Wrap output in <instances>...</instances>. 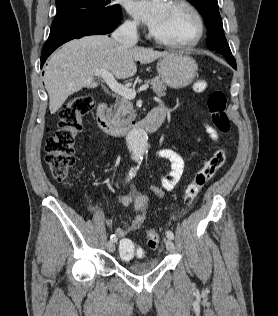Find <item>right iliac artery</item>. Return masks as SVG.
<instances>
[{"mask_svg": "<svg viewBox=\"0 0 278 316\" xmlns=\"http://www.w3.org/2000/svg\"><path fill=\"white\" fill-rule=\"evenodd\" d=\"M135 175H136V170L132 169V170L129 172V175H128V177H127V181H130V179H132L133 177H135ZM110 240L113 241V242H116V241H117V237L113 234V235H111Z\"/></svg>", "mask_w": 278, "mask_h": 316, "instance_id": "82829eb1", "label": "right iliac artery"}]
</instances>
